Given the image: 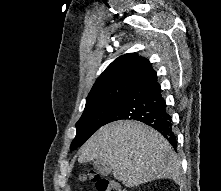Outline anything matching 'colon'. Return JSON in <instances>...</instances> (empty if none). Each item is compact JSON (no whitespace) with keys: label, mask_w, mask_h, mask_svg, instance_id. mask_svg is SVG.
<instances>
[{"label":"colon","mask_w":221,"mask_h":191,"mask_svg":"<svg viewBox=\"0 0 221 191\" xmlns=\"http://www.w3.org/2000/svg\"><path fill=\"white\" fill-rule=\"evenodd\" d=\"M80 179L82 181L91 180L95 184L97 191H126L119 183L109 180L93 170L83 173Z\"/></svg>","instance_id":"colon-1"}]
</instances>
